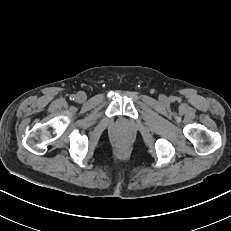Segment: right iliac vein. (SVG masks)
Wrapping results in <instances>:
<instances>
[{
    "label": "right iliac vein",
    "mask_w": 231,
    "mask_h": 231,
    "mask_svg": "<svg viewBox=\"0 0 231 231\" xmlns=\"http://www.w3.org/2000/svg\"><path fill=\"white\" fill-rule=\"evenodd\" d=\"M77 102H84L86 100V94L84 92H78L75 96Z\"/></svg>",
    "instance_id": "obj_1"
}]
</instances>
